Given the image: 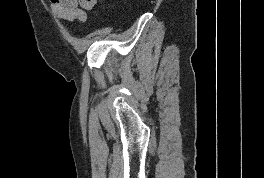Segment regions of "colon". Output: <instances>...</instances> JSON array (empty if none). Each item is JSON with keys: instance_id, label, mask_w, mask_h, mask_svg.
Here are the masks:
<instances>
[{"instance_id": "1", "label": "colon", "mask_w": 264, "mask_h": 178, "mask_svg": "<svg viewBox=\"0 0 264 178\" xmlns=\"http://www.w3.org/2000/svg\"><path fill=\"white\" fill-rule=\"evenodd\" d=\"M88 1H89V2H92L91 0H88ZM88 1H86V0H85V1H84V2H85V4H87V3H88Z\"/></svg>"}]
</instances>
